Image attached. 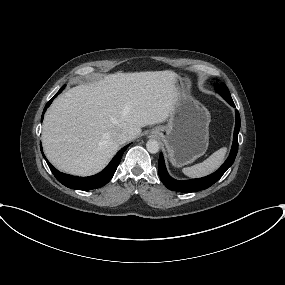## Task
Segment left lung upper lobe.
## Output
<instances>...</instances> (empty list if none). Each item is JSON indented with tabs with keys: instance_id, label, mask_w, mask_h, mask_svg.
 Wrapping results in <instances>:
<instances>
[{
	"instance_id": "obj_1",
	"label": "left lung upper lobe",
	"mask_w": 285,
	"mask_h": 285,
	"mask_svg": "<svg viewBox=\"0 0 285 285\" xmlns=\"http://www.w3.org/2000/svg\"><path fill=\"white\" fill-rule=\"evenodd\" d=\"M218 92L224 99H232L230 92L224 83L218 85Z\"/></svg>"
}]
</instances>
